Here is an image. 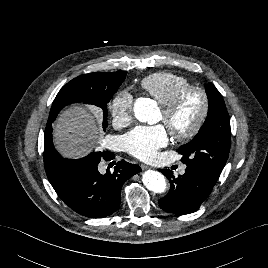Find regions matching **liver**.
I'll list each match as a JSON object with an SVG mask.
<instances>
[{
    "label": "liver",
    "mask_w": 268,
    "mask_h": 268,
    "mask_svg": "<svg viewBox=\"0 0 268 268\" xmlns=\"http://www.w3.org/2000/svg\"><path fill=\"white\" fill-rule=\"evenodd\" d=\"M57 150L70 158L82 157L92 151L101 138L90 109L72 106L64 111L53 126Z\"/></svg>",
    "instance_id": "1"
}]
</instances>
